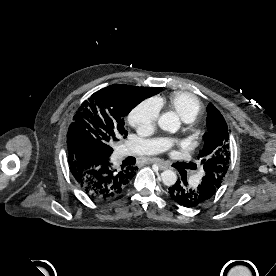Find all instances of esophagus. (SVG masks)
<instances>
[{
    "instance_id": "esophagus-1",
    "label": "esophagus",
    "mask_w": 276,
    "mask_h": 276,
    "mask_svg": "<svg viewBox=\"0 0 276 276\" xmlns=\"http://www.w3.org/2000/svg\"><path fill=\"white\" fill-rule=\"evenodd\" d=\"M150 162H151V163H154V164H157L161 170H166V169H168V165H167L164 161H162V160H159V159H151Z\"/></svg>"
}]
</instances>
